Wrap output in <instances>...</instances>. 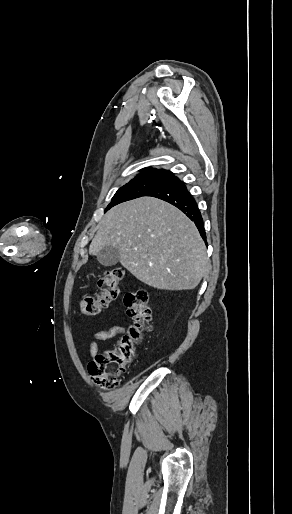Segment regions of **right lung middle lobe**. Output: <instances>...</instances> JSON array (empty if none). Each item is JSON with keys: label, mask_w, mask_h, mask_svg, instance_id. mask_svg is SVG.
Listing matches in <instances>:
<instances>
[{"label": "right lung middle lobe", "mask_w": 292, "mask_h": 514, "mask_svg": "<svg viewBox=\"0 0 292 514\" xmlns=\"http://www.w3.org/2000/svg\"><path fill=\"white\" fill-rule=\"evenodd\" d=\"M171 175L165 172L140 173L129 183L117 190L106 211L111 207L138 197H142L148 190L166 180Z\"/></svg>", "instance_id": "right-lung-middle-lobe-1"}]
</instances>
